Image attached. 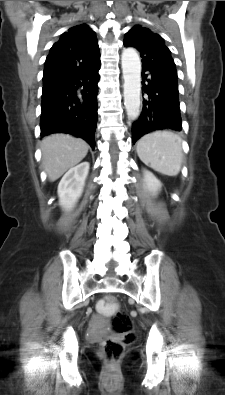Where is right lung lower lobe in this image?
I'll use <instances>...</instances> for the list:
<instances>
[{
    "instance_id": "1",
    "label": "right lung lower lobe",
    "mask_w": 225,
    "mask_h": 395,
    "mask_svg": "<svg viewBox=\"0 0 225 395\" xmlns=\"http://www.w3.org/2000/svg\"><path fill=\"white\" fill-rule=\"evenodd\" d=\"M100 59L89 68L63 74L43 85L41 137L68 133L95 148ZM83 89L78 92V88Z\"/></svg>"
}]
</instances>
